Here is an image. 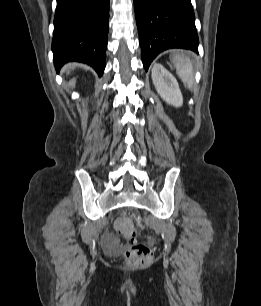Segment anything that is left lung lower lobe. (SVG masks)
<instances>
[{
  "label": "left lung lower lobe",
  "instance_id": "left-lung-lower-lobe-1",
  "mask_svg": "<svg viewBox=\"0 0 261 306\" xmlns=\"http://www.w3.org/2000/svg\"><path fill=\"white\" fill-rule=\"evenodd\" d=\"M145 70L170 48L198 52V35L191 0H134Z\"/></svg>",
  "mask_w": 261,
  "mask_h": 306
}]
</instances>
